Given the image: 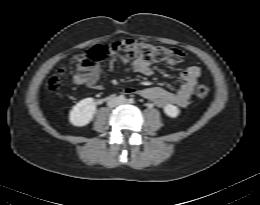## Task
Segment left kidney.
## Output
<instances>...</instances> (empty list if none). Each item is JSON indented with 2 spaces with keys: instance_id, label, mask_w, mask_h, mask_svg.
Here are the masks:
<instances>
[{
  "instance_id": "5707ae66",
  "label": "left kidney",
  "mask_w": 260,
  "mask_h": 205,
  "mask_svg": "<svg viewBox=\"0 0 260 205\" xmlns=\"http://www.w3.org/2000/svg\"><path fill=\"white\" fill-rule=\"evenodd\" d=\"M164 112L167 116L171 118H176L179 115L180 110L177 106L168 104L164 107Z\"/></svg>"
}]
</instances>
